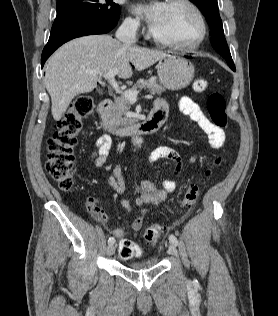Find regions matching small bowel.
Returning a JSON list of instances; mask_svg holds the SVG:
<instances>
[{
  "mask_svg": "<svg viewBox=\"0 0 278 316\" xmlns=\"http://www.w3.org/2000/svg\"><path fill=\"white\" fill-rule=\"evenodd\" d=\"M154 108H160L165 112V115L167 114L168 105L162 99L155 101ZM179 109L189 117L194 127L207 137L209 144L213 149H219L224 145V131L211 122L196 102L190 98H182L179 101ZM111 145L112 140L108 135H102L96 140L94 149L91 152V159L95 166L101 167L104 165ZM160 160L170 161L173 164V171L168 178L164 179L161 188L147 180L140 183L139 188L136 191L135 204L141 209L142 214L146 212V207L148 205H157L163 202L167 195L176 189L177 179L183 169V160L180 154L171 147H157L148 157L150 163H155ZM108 182L116 191L122 192L124 190L125 186L122 170L119 166L113 168V174L108 177ZM121 205L127 212L131 210L129 199H123ZM100 219L114 237L122 239L125 236V231L122 228L110 227L109 219L104 213H101ZM143 223V216H138L132 221L130 228L133 232H138L142 229Z\"/></svg>",
  "mask_w": 278,
  "mask_h": 316,
  "instance_id": "obj_1",
  "label": "small bowel"
}]
</instances>
